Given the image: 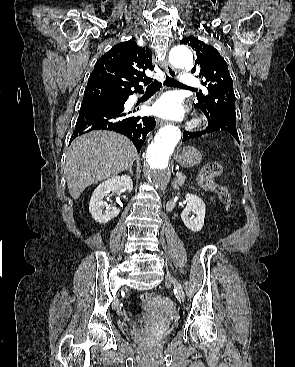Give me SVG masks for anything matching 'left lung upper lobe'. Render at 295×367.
<instances>
[{
    "instance_id": "left-lung-upper-lobe-1",
    "label": "left lung upper lobe",
    "mask_w": 295,
    "mask_h": 367,
    "mask_svg": "<svg viewBox=\"0 0 295 367\" xmlns=\"http://www.w3.org/2000/svg\"><path fill=\"white\" fill-rule=\"evenodd\" d=\"M180 44L196 51V64L191 72H197V77L207 85L209 94L199 95L196 106L210 117L231 115L236 118L233 82L224 58L214 47L193 36L182 39Z\"/></svg>"
}]
</instances>
